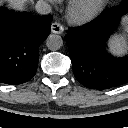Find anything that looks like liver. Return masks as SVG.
Instances as JSON below:
<instances>
[{
	"instance_id": "6515ba94",
	"label": "liver",
	"mask_w": 128,
	"mask_h": 128,
	"mask_svg": "<svg viewBox=\"0 0 128 128\" xmlns=\"http://www.w3.org/2000/svg\"><path fill=\"white\" fill-rule=\"evenodd\" d=\"M6 1L8 2L9 8L21 11L25 8L27 2H32L33 0H6ZM0 4H2V2Z\"/></svg>"
}]
</instances>
